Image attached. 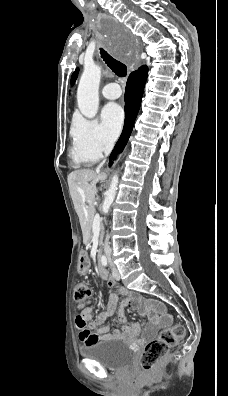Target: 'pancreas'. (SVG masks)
I'll list each match as a JSON object with an SVG mask.
<instances>
[{"label": "pancreas", "instance_id": "1", "mask_svg": "<svg viewBox=\"0 0 228 396\" xmlns=\"http://www.w3.org/2000/svg\"><path fill=\"white\" fill-rule=\"evenodd\" d=\"M93 219H94V214H93V216H92V218H91V220H90V230H91V226H92V222H93ZM102 237H103V228L101 227L100 228V239H102ZM91 238L89 239V243L91 242Z\"/></svg>", "mask_w": 228, "mask_h": 396}]
</instances>
